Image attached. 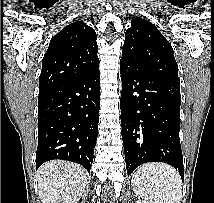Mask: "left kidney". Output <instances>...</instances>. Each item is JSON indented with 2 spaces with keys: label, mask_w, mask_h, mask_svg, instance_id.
Wrapping results in <instances>:
<instances>
[{
  "label": "left kidney",
  "mask_w": 214,
  "mask_h": 203,
  "mask_svg": "<svg viewBox=\"0 0 214 203\" xmlns=\"http://www.w3.org/2000/svg\"><path fill=\"white\" fill-rule=\"evenodd\" d=\"M136 203H147L146 201L138 200Z\"/></svg>",
  "instance_id": "5707ae66"
}]
</instances>
